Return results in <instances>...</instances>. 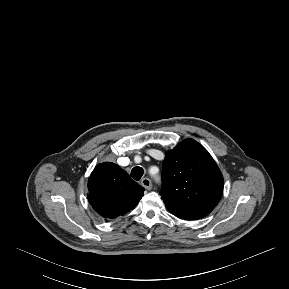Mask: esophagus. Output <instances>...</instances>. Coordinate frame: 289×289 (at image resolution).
I'll return each mask as SVG.
<instances>
[{
    "label": "esophagus",
    "mask_w": 289,
    "mask_h": 289,
    "mask_svg": "<svg viewBox=\"0 0 289 289\" xmlns=\"http://www.w3.org/2000/svg\"><path fill=\"white\" fill-rule=\"evenodd\" d=\"M141 185L146 189V190H151L152 189V182L148 178H143L141 180Z\"/></svg>",
    "instance_id": "34e87169"
}]
</instances>
